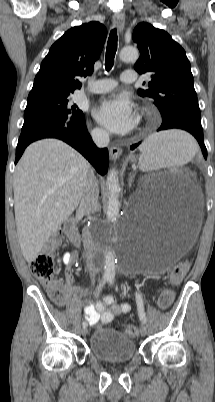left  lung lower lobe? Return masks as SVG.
<instances>
[{
    "label": "left lung lower lobe",
    "instance_id": "0a47b994",
    "mask_svg": "<svg viewBox=\"0 0 215 402\" xmlns=\"http://www.w3.org/2000/svg\"><path fill=\"white\" fill-rule=\"evenodd\" d=\"M172 128H177V129H183L188 132H190L198 141L202 153L204 155V158L207 159V149L206 146L204 145V138H203V129L201 126V123L194 122L192 120L182 118V117H172L166 120L162 121L161 126L158 128L157 131L161 130H167V129H172ZM136 143L132 145L130 148L133 150L135 149L139 144Z\"/></svg>",
    "mask_w": 215,
    "mask_h": 402
}]
</instances>
